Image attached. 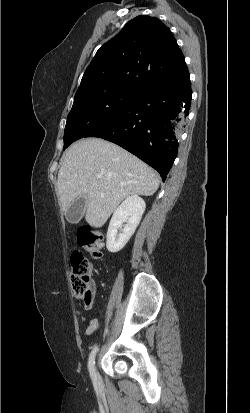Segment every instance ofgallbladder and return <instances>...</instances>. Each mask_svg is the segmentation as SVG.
I'll use <instances>...</instances> for the list:
<instances>
[{"instance_id":"obj_1","label":"gallbladder","mask_w":250,"mask_h":413,"mask_svg":"<svg viewBox=\"0 0 250 413\" xmlns=\"http://www.w3.org/2000/svg\"><path fill=\"white\" fill-rule=\"evenodd\" d=\"M85 209L86 198L83 196L76 198L65 211V217L67 221L71 224L78 223L82 219Z\"/></svg>"}]
</instances>
